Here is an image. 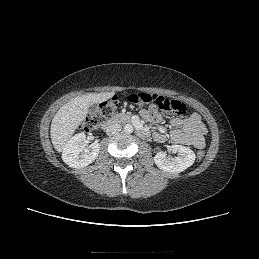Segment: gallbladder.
I'll return each mask as SVG.
<instances>
[{
	"mask_svg": "<svg viewBox=\"0 0 259 259\" xmlns=\"http://www.w3.org/2000/svg\"><path fill=\"white\" fill-rule=\"evenodd\" d=\"M97 110H98V104H97V103H94V104H92V105L89 107L88 113H89L90 115H94V114L97 112Z\"/></svg>",
	"mask_w": 259,
	"mask_h": 259,
	"instance_id": "1",
	"label": "gallbladder"
}]
</instances>
